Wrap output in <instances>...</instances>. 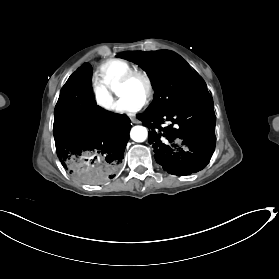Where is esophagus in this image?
I'll list each match as a JSON object with an SVG mask.
<instances>
[{"label": "esophagus", "instance_id": "obj_1", "mask_svg": "<svg viewBox=\"0 0 279 279\" xmlns=\"http://www.w3.org/2000/svg\"><path fill=\"white\" fill-rule=\"evenodd\" d=\"M130 119L133 123H139V121L135 117H130Z\"/></svg>", "mask_w": 279, "mask_h": 279}]
</instances>
